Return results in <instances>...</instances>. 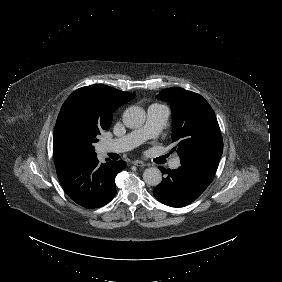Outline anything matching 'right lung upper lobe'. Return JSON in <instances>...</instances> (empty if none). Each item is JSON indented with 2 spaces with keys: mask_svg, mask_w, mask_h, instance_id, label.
Segmentation results:
<instances>
[{
  "mask_svg": "<svg viewBox=\"0 0 282 282\" xmlns=\"http://www.w3.org/2000/svg\"><path fill=\"white\" fill-rule=\"evenodd\" d=\"M134 96L135 93L122 92L103 84H94L74 91L62 105L56 121L53 138L55 167L96 154L70 139L68 131L73 125L91 123L101 130H106L111 125L112 113Z\"/></svg>",
  "mask_w": 282,
  "mask_h": 282,
  "instance_id": "cb5924a9",
  "label": "right lung upper lobe"
}]
</instances>
